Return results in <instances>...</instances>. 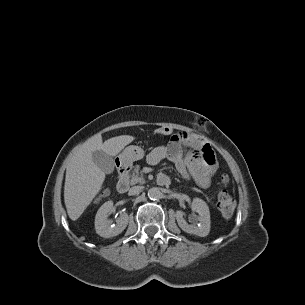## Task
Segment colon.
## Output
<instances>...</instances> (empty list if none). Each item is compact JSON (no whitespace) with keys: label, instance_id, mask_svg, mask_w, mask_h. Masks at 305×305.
<instances>
[{"label":"colon","instance_id":"5ec220e1","mask_svg":"<svg viewBox=\"0 0 305 305\" xmlns=\"http://www.w3.org/2000/svg\"><path fill=\"white\" fill-rule=\"evenodd\" d=\"M172 132L173 130L169 127H161L156 130V133L161 135H168ZM222 182L226 186L228 184V178L224 177ZM106 195L107 190H103L99 197H104ZM217 207L224 216H231L236 208V200L226 188L221 190L218 195Z\"/></svg>","mask_w":305,"mask_h":305}]
</instances>
